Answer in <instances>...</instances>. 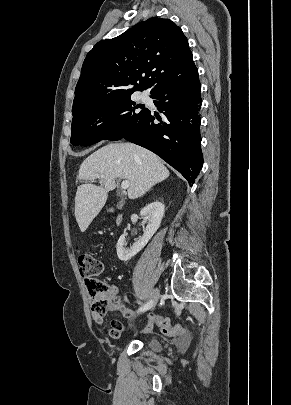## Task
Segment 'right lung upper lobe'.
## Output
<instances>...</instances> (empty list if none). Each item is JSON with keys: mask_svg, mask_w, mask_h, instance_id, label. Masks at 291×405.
I'll return each mask as SVG.
<instances>
[{"mask_svg": "<svg viewBox=\"0 0 291 405\" xmlns=\"http://www.w3.org/2000/svg\"><path fill=\"white\" fill-rule=\"evenodd\" d=\"M198 70L181 28L150 18L87 54L75 88L72 113L89 105L131 96L193 77ZM128 85H134L129 88Z\"/></svg>", "mask_w": 291, "mask_h": 405, "instance_id": "right-lung-upper-lobe-1", "label": "right lung upper lobe"}]
</instances>
